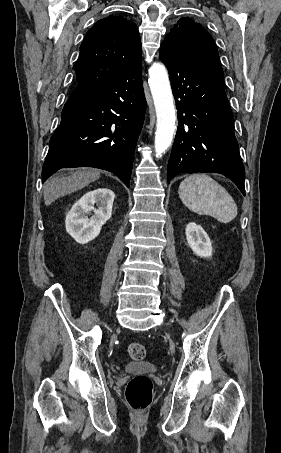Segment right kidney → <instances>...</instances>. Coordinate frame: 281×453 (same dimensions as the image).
I'll return each mask as SVG.
<instances>
[{"mask_svg": "<svg viewBox=\"0 0 281 453\" xmlns=\"http://www.w3.org/2000/svg\"><path fill=\"white\" fill-rule=\"evenodd\" d=\"M115 194L110 188H95L85 192L79 200L74 202L66 214L65 229L76 243L85 245L98 237L102 224L110 218ZM94 204H97L95 208ZM94 214L88 218V214Z\"/></svg>", "mask_w": 281, "mask_h": 453, "instance_id": "obj_1", "label": "right kidney"}]
</instances>
